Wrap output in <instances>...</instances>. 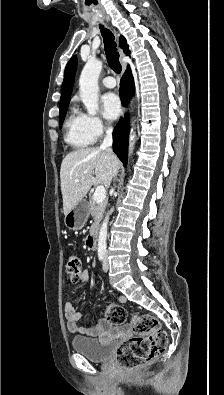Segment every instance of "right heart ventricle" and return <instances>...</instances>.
<instances>
[{
    "mask_svg": "<svg viewBox=\"0 0 224 395\" xmlns=\"http://www.w3.org/2000/svg\"><path fill=\"white\" fill-rule=\"evenodd\" d=\"M65 140L74 148H85L93 144L95 138L88 131L82 114L73 110L65 124Z\"/></svg>",
    "mask_w": 224,
    "mask_h": 395,
    "instance_id": "e07e8e85",
    "label": "right heart ventricle"
}]
</instances>
